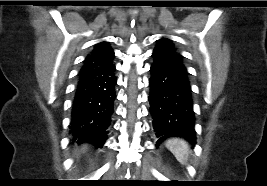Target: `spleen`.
Masks as SVG:
<instances>
[{
  "mask_svg": "<svg viewBox=\"0 0 267 186\" xmlns=\"http://www.w3.org/2000/svg\"><path fill=\"white\" fill-rule=\"evenodd\" d=\"M166 147L181 164L186 163L189 154V145L187 142L178 138L169 139L166 142Z\"/></svg>",
  "mask_w": 267,
  "mask_h": 186,
  "instance_id": "1",
  "label": "spleen"
}]
</instances>
